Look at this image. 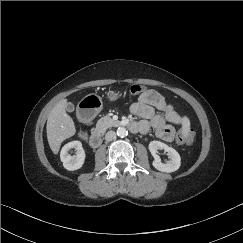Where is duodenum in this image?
Masks as SVG:
<instances>
[{
    "mask_svg": "<svg viewBox=\"0 0 243 243\" xmlns=\"http://www.w3.org/2000/svg\"><path fill=\"white\" fill-rule=\"evenodd\" d=\"M119 125L126 126L133 132H136L139 128L138 124L132 123V122L122 123V124H119ZM89 142H90V145L93 148L99 147L102 143L101 133L98 130H93L91 135H90Z\"/></svg>",
    "mask_w": 243,
    "mask_h": 243,
    "instance_id": "obj_1",
    "label": "duodenum"
}]
</instances>
